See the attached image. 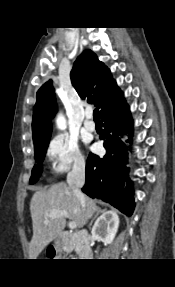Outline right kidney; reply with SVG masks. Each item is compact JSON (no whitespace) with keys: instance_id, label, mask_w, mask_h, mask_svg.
<instances>
[{"instance_id":"ca27d5eb","label":"right kidney","mask_w":175,"mask_h":287,"mask_svg":"<svg viewBox=\"0 0 175 287\" xmlns=\"http://www.w3.org/2000/svg\"><path fill=\"white\" fill-rule=\"evenodd\" d=\"M119 227V217L114 211L104 212L95 222L92 228V235L104 242L111 244Z\"/></svg>"}]
</instances>
